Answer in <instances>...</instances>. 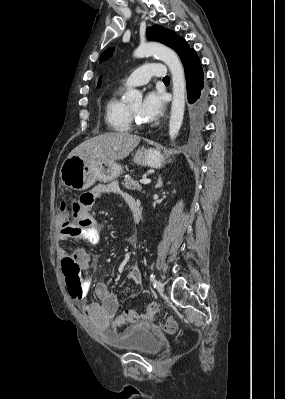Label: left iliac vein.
Wrapping results in <instances>:
<instances>
[{"instance_id": "4c4485c4", "label": "left iliac vein", "mask_w": 285, "mask_h": 399, "mask_svg": "<svg viewBox=\"0 0 285 399\" xmlns=\"http://www.w3.org/2000/svg\"><path fill=\"white\" fill-rule=\"evenodd\" d=\"M156 288H157V291H158L160 294L163 293V291H164V286H163V283H162L161 281H158V282H157Z\"/></svg>"}]
</instances>
